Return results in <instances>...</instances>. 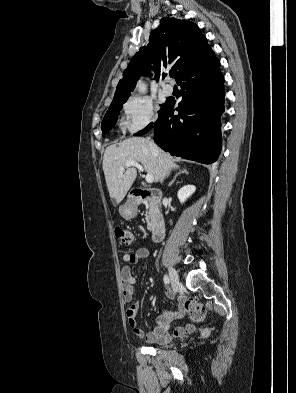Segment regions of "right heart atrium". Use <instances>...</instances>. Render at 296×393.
<instances>
[{
	"instance_id": "1",
	"label": "right heart atrium",
	"mask_w": 296,
	"mask_h": 393,
	"mask_svg": "<svg viewBox=\"0 0 296 393\" xmlns=\"http://www.w3.org/2000/svg\"><path fill=\"white\" fill-rule=\"evenodd\" d=\"M125 126L130 133H136L146 128L155 117L152 102L142 96L129 98L123 107Z\"/></svg>"
}]
</instances>
